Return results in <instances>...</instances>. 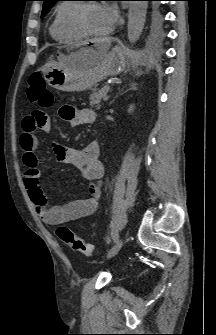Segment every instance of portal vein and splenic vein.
I'll return each mask as SVG.
<instances>
[{"instance_id":"1","label":"portal vein and splenic vein","mask_w":216,"mask_h":335,"mask_svg":"<svg viewBox=\"0 0 216 335\" xmlns=\"http://www.w3.org/2000/svg\"><path fill=\"white\" fill-rule=\"evenodd\" d=\"M108 99H109V95H105L103 98V101H108Z\"/></svg>"}]
</instances>
